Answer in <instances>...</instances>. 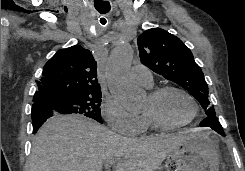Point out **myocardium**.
Returning <instances> with one entry per match:
<instances>
[{"mask_svg":"<svg viewBox=\"0 0 245 171\" xmlns=\"http://www.w3.org/2000/svg\"><path fill=\"white\" fill-rule=\"evenodd\" d=\"M169 91H176V92H179L182 95H184L192 104L193 113L188 120H186L182 123H176L175 124V123H168V122L164 121L153 110L145 111L144 115L149 119L151 124L155 128L160 129V130H174V129L183 128V127L191 124L196 119V117L198 116V112H199V106H198L195 98L188 91H186L185 89H183L179 86L164 85V86L157 87L149 93L148 97L153 102H157L163 94H165L166 92H169Z\"/></svg>","mask_w":245,"mask_h":171,"instance_id":"obj_1","label":"myocardium"}]
</instances>
